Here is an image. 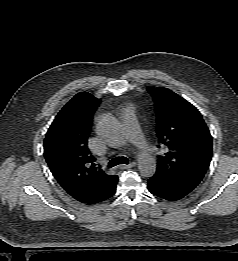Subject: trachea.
<instances>
[{
    "label": "trachea",
    "mask_w": 238,
    "mask_h": 261,
    "mask_svg": "<svg viewBox=\"0 0 238 261\" xmlns=\"http://www.w3.org/2000/svg\"><path fill=\"white\" fill-rule=\"evenodd\" d=\"M129 163V160L126 158V157H116V158H113L112 160H110V162L108 163V166L111 168V167H114V166H117L119 164H128Z\"/></svg>",
    "instance_id": "trachea-1"
}]
</instances>
